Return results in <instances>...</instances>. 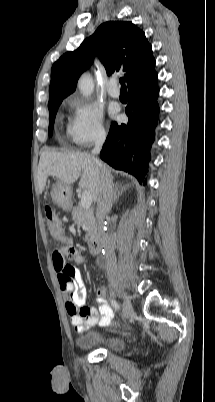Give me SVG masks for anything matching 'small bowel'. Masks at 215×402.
Wrapping results in <instances>:
<instances>
[{"mask_svg":"<svg viewBox=\"0 0 215 402\" xmlns=\"http://www.w3.org/2000/svg\"><path fill=\"white\" fill-rule=\"evenodd\" d=\"M52 262L57 273L61 295L65 301V308L70 323L77 333L95 325L107 326L114 316V311L107 303V290L104 286L97 288V308L86 307V285L81 275L72 267L71 263L82 264V253L73 247L68 238L67 243L60 244L52 253Z\"/></svg>","mask_w":215,"mask_h":402,"instance_id":"obj_1","label":"small bowel"}]
</instances>
